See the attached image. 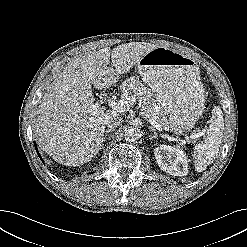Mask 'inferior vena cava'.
Here are the masks:
<instances>
[{"label": "inferior vena cava", "instance_id": "obj_1", "mask_svg": "<svg viewBox=\"0 0 247 247\" xmlns=\"http://www.w3.org/2000/svg\"><path fill=\"white\" fill-rule=\"evenodd\" d=\"M122 121V117L119 116L118 113L111 111L107 115H105L104 118V125L107 126L108 128H115L120 125Z\"/></svg>", "mask_w": 247, "mask_h": 247}]
</instances>
